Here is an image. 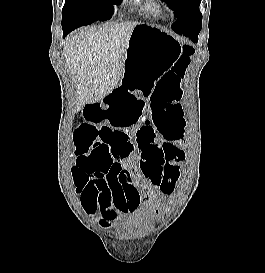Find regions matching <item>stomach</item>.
I'll use <instances>...</instances> for the list:
<instances>
[{"label":"stomach","instance_id":"stomach-1","mask_svg":"<svg viewBox=\"0 0 265 273\" xmlns=\"http://www.w3.org/2000/svg\"><path fill=\"white\" fill-rule=\"evenodd\" d=\"M179 48V41L168 31L139 23L130 36L124 73L120 84L114 85V90H131L134 95H150L154 82L177 58ZM130 78L136 80H128Z\"/></svg>","mask_w":265,"mask_h":273}]
</instances>
